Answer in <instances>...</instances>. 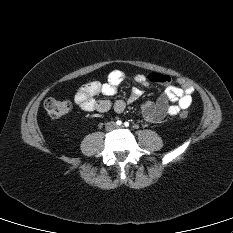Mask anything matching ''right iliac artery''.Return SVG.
<instances>
[{"mask_svg":"<svg viewBox=\"0 0 233 233\" xmlns=\"http://www.w3.org/2000/svg\"><path fill=\"white\" fill-rule=\"evenodd\" d=\"M116 124L120 126V125H122V121L121 120H117Z\"/></svg>","mask_w":233,"mask_h":233,"instance_id":"1","label":"right iliac artery"}]
</instances>
